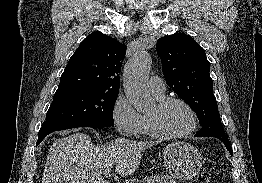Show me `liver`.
Returning <instances> with one entry per match:
<instances>
[{
    "instance_id": "1",
    "label": "liver",
    "mask_w": 262,
    "mask_h": 183,
    "mask_svg": "<svg viewBox=\"0 0 262 183\" xmlns=\"http://www.w3.org/2000/svg\"><path fill=\"white\" fill-rule=\"evenodd\" d=\"M154 144L117 138L95 145L85 133L71 134L49 149L42 183H108L102 174L113 165L120 176H129L140 165L141 153Z\"/></svg>"
}]
</instances>
